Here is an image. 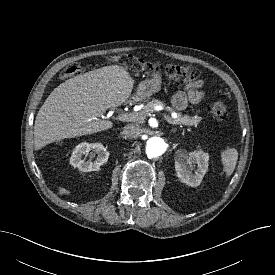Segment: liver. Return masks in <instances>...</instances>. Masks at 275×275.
I'll list each match as a JSON object with an SVG mask.
<instances>
[{
	"label": "liver",
	"instance_id": "liver-1",
	"mask_svg": "<svg viewBox=\"0 0 275 275\" xmlns=\"http://www.w3.org/2000/svg\"><path fill=\"white\" fill-rule=\"evenodd\" d=\"M134 80L121 66H105L70 78L48 96L35 119L36 150L65 138L107 130L113 126L102 119L104 112L125 103Z\"/></svg>",
	"mask_w": 275,
	"mask_h": 275
}]
</instances>
